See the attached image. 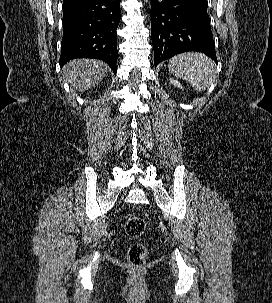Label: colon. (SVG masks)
Instances as JSON below:
<instances>
[{
    "label": "colon",
    "mask_w": 272,
    "mask_h": 303,
    "mask_svg": "<svg viewBox=\"0 0 272 303\" xmlns=\"http://www.w3.org/2000/svg\"><path fill=\"white\" fill-rule=\"evenodd\" d=\"M125 231L131 238H141L146 231V223L139 216H132L125 223ZM128 262L135 269H141L146 261L147 247L143 243H134L128 249Z\"/></svg>",
    "instance_id": "colon-1"
}]
</instances>
